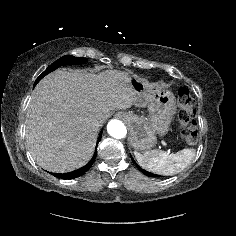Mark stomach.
Here are the masks:
<instances>
[{
    "instance_id": "stomach-1",
    "label": "stomach",
    "mask_w": 236,
    "mask_h": 236,
    "mask_svg": "<svg viewBox=\"0 0 236 236\" xmlns=\"http://www.w3.org/2000/svg\"><path fill=\"white\" fill-rule=\"evenodd\" d=\"M130 85L137 94L135 105L148 107L149 118L124 112L130 130V144L137 151H148L156 145L157 136L168 133L171 120L176 112L174 95L156 84H149L146 80L132 76Z\"/></svg>"
}]
</instances>
